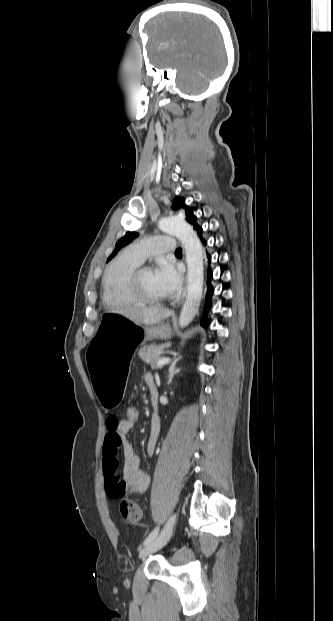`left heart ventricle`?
Returning a JSON list of instances; mask_svg holds the SVG:
<instances>
[{
	"label": "left heart ventricle",
	"mask_w": 333,
	"mask_h": 621,
	"mask_svg": "<svg viewBox=\"0 0 333 621\" xmlns=\"http://www.w3.org/2000/svg\"><path fill=\"white\" fill-rule=\"evenodd\" d=\"M141 288L146 294L152 297H164L167 295L166 291L156 279L153 270L145 271L141 275Z\"/></svg>",
	"instance_id": "left-heart-ventricle-1"
}]
</instances>
